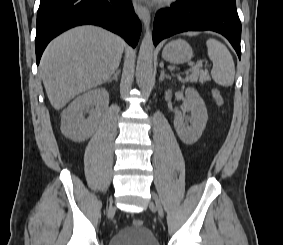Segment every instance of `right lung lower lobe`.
Masks as SVG:
<instances>
[{
	"label": "right lung lower lobe",
	"instance_id": "98d812e1",
	"mask_svg": "<svg viewBox=\"0 0 283 245\" xmlns=\"http://www.w3.org/2000/svg\"><path fill=\"white\" fill-rule=\"evenodd\" d=\"M82 24L104 27L124 37L131 46L137 44L141 32L131 0H41L35 38L37 64L54 37Z\"/></svg>",
	"mask_w": 283,
	"mask_h": 245
}]
</instances>
